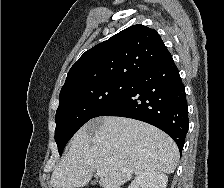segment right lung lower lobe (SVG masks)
I'll use <instances>...</instances> for the list:
<instances>
[{"mask_svg":"<svg viewBox=\"0 0 224 188\" xmlns=\"http://www.w3.org/2000/svg\"><path fill=\"white\" fill-rule=\"evenodd\" d=\"M101 116L147 122L166 132L182 152L188 131L185 88L172 56L131 79L126 95Z\"/></svg>","mask_w":224,"mask_h":188,"instance_id":"98d812e1","label":"right lung lower lobe"}]
</instances>
